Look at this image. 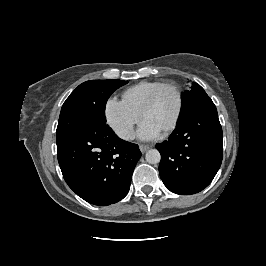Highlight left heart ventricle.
<instances>
[{
  "label": "left heart ventricle",
  "instance_id": "1",
  "mask_svg": "<svg viewBox=\"0 0 266 266\" xmlns=\"http://www.w3.org/2000/svg\"><path fill=\"white\" fill-rule=\"evenodd\" d=\"M178 107V98L172 88L164 89L153 106L146 112L144 120L163 131L173 120Z\"/></svg>",
  "mask_w": 266,
  "mask_h": 266
}]
</instances>
